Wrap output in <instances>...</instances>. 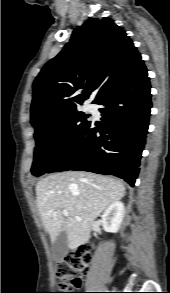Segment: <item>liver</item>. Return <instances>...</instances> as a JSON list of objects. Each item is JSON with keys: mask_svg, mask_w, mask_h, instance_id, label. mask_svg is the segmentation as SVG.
I'll list each match as a JSON object with an SVG mask.
<instances>
[{"mask_svg": "<svg viewBox=\"0 0 170 293\" xmlns=\"http://www.w3.org/2000/svg\"><path fill=\"white\" fill-rule=\"evenodd\" d=\"M35 190L39 215L51 241L65 231L70 250L87 243L95 219L125 195L120 180L82 171L48 175L36 184ZM64 209L68 216L63 215Z\"/></svg>", "mask_w": 170, "mask_h": 293, "instance_id": "liver-1", "label": "liver"}]
</instances>
